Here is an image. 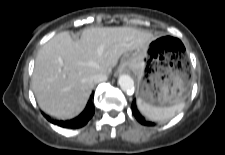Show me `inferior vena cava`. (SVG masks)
Returning a JSON list of instances; mask_svg holds the SVG:
<instances>
[{"mask_svg":"<svg viewBox=\"0 0 225 155\" xmlns=\"http://www.w3.org/2000/svg\"><path fill=\"white\" fill-rule=\"evenodd\" d=\"M108 79V74L107 73H99L94 76L93 80L95 83H101L104 82Z\"/></svg>","mask_w":225,"mask_h":155,"instance_id":"602c4592","label":"inferior vena cava"}]
</instances>
